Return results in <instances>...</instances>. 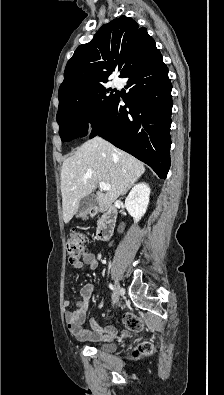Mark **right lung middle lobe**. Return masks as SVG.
Wrapping results in <instances>:
<instances>
[{
    "label": "right lung middle lobe",
    "mask_w": 224,
    "mask_h": 395,
    "mask_svg": "<svg viewBox=\"0 0 224 395\" xmlns=\"http://www.w3.org/2000/svg\"><path fill=\"white\" fill-rule=\"evenodd\" d=\"M113 92L114 90L106 89L102 83L66 99L59 105L56 120L61 140L70 141L86 135V120H91L92 127L95 126L116 96L117 92Z\"/></svg>",
    "instance_id": "1"
}]
</instances>
